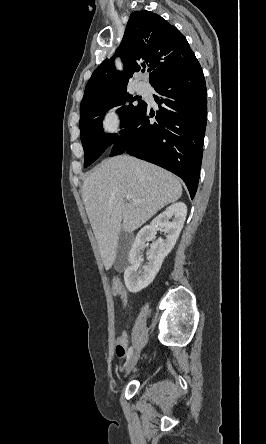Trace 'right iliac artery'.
<instances>
[{"label":"right iliac artery","instance_id":"1","mask_svg":"<svg viewBox=\"0 0 266 444\" xmlns=\"http://www.w3.org/2000/svg\"><path fill=\"white\" fill-rule=\"evenodd\" d=\"M132 353H133V347L131 346L127 351V360L130 359Z\"/></svg>","mask_w":266,"mask_h":444}]
</instances>
